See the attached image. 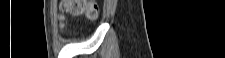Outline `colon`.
<instances>
[{"label":"colon","mask_w":225,"mask_h":58,"mask_svg":"<svg viewBox=\"0 0 225 58\" xmlns=\"http://www.w3.org/2000/svg\"><path fill=\"white\" fill-rule=\"evenodd\" d=\"M61 10L73 16L85 14L90 19H95L100 13L97 0H68L61 6Z\"/></svg>","instance_id":"5ec220e1"}]
</instances>
